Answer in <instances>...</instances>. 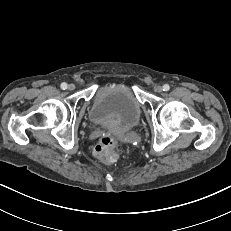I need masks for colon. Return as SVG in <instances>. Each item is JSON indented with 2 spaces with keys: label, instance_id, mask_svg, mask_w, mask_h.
I'll list each match as a JSON object with an SVG mask.
<instances>
[{
  "label": "colon",
  "instance_id": "1",
  "mask_svg": "<svg viewBox=\"0 0 231 231\" xmlns=\"http://www.w3.org/2000/svg\"><path fill=\"white\" fill-rule=\"evenodd\" d=\"M118 140L115 136L105 134L101 136L94 148V155L104 162L112 161L116 156Z\"/></svg>",
  "mask_w": 231,
  "mask_h": 231
}]
</instances>
